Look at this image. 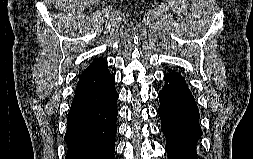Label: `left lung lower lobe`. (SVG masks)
I'll return each mask as SVG.
<instances>
[{"mask_svg": "<svg viewBox=\"0 0 253 159\" xmlns=\"http://www.w3.org/2000/svg\"><path fill=\"white\" fill-rule=\"evenodd\" d=\"M164 79L158 114L168 159H197L196 145L202 131L195 99L180 74L169 72Z\"/></svg>", "mask_w": 253, "mask_h": 159, "instance_id": "obj_1", "label": "left lung lower lobe"}]
</instances>
